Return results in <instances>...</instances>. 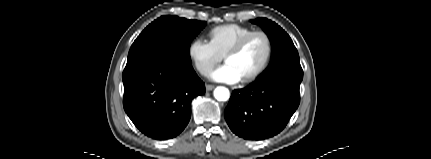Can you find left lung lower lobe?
Instances as JSON below:
<instances>
[{
	"label": "left lung lower lobe",
	"mask_w": 431,
	"mask_h": 159,
	"mask_svg": "<svg viewBox=\"0 0 431 159\" xmlns=\"http://www.w3.org/2000/svg\"><path fill=\"white\" fill-rule=\"evenodd\" d=\"M303 71L279 70L234 90L225 109L233 133L246 140H264L280 133L299 106Z\"/></svg>",
	"instance_id": "obj_1"
}]
</instances>
